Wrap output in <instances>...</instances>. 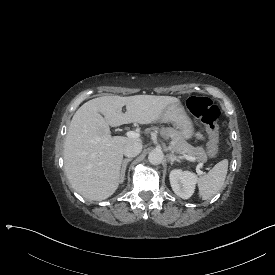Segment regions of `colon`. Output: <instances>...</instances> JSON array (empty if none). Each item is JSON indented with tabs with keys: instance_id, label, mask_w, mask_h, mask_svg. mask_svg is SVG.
Wrapping results in <instances>:
<instances>
[{
	"instance_id": "obj_1",
	"label": "colon",
	"mask_w": 275,
	"mask_h": 275,
	"mask_svg": "<svg viewBox=\"0 0 275 275\" xmlns=\"http://www.w3.org/2000/svg\"><path fill=\"white\" fill-rule=\"evenodd\" d=\"M186 109L199 119L208 136L207 154L214 157L218 152V124L220 111L208 98L191 96L185 103Z\"/></svg>"
}]
</instances>
